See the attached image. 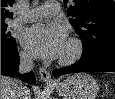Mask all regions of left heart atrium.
I'll use <instances>...</instances> for the list:
<instances>
[{
    "mask_svg": "<svg viewBox=\"0 0 115 99\" xmlns=\"http://www.w3.org/2000/svg\"><path fill=\"white\" fill-rule=\"evenodd\" d=\"M22 42L34 56L52 60L63 54L67 45V34L59 23H38L26 29Z\"/></svg>",
    "mask_w": 115,
    "mask_h": 99,
    "instance_id": "left-heart-atrium-1",
    "label": "left heart atrium"
}]
</instances>
